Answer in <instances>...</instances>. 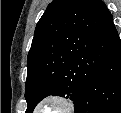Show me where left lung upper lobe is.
I'll list each match as a JSON object with an SVG mask.
<instances>
[{
	"mask_svg": "<svg viewBox=\"0 0 121 113\" xmlns=\"http://www.w3.org/2000/svg\"><path fill=\"white\" fill-rule=\"evenodd\" d=\"M118 37L102 0H53L40 18L27 58V113L49 95L76 103Z\"/></svg>",
	"mask_w": 121,
	"mask_h": 113,
	"instance_id": "left-lung-upper-lobe-1",
	"label": "left lung upper lobe"
}]
</instances>
